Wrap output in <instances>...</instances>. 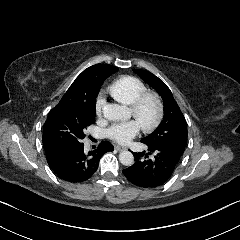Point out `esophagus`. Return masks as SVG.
<instances>
[{
    "label": "esophagus",
    "instance_id": "esophagus-1",
    "mask_svg": "<svg viewBox=\"0 0 240 240\" xmlns=\"http://www.w3.org/2000/svg\"><path fill=\"white\" fill-rule=\"evenodd\" d=\"M115 149L120 152V151L127 150V147L116 145Z\"/></svg>",
    "mask_w": 240,
    "mask_h": 240
}]
</instances>
